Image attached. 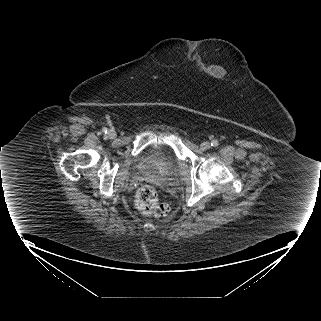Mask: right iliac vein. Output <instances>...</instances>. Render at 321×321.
<instances>
[{"instance_id":"right-iliac-vein-1","label":"right iliac vein","mask_w":321,"mask_h":321,"mask_svg":"<svg viewBox=\"0 0 321 321\" xmlns=\"http://www.w3.org/2000/svg\"><path fill=\"white\" fill-rule=\"evenodd\" d=\"M108 135H109L110 138H114L116 136V132L114 130H110L108 132Z\"/></svg>"}]
</instances>
